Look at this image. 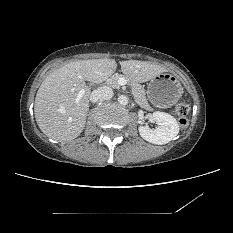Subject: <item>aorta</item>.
I'll return each mask as SVG.
<instances>
[{
	"label": "aorta",
	"instance_id": "1",
	"mask_svg": "<svg viewBox=\"0 0 233 233\" xmlns=\"http://www.w3.org/2000/svg\"><path fill=\"white\" fill-rule=\"evenodd\" d=\"M128 102H129V99H128V97H127L126 95H120V96L118 97V103H119L120 105L125 106V105L128 104Z\"/></svg>",
	"mask_w": 233,
	"mask_h": 233
}]
</instances>
